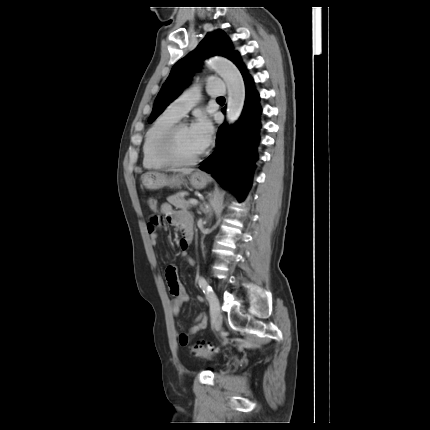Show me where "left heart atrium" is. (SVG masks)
Instances as JSON below:
<instances>
[{
	"instance_id": "1",
	"label": "left heart atrium",
	"mask_w": 430,
	"mask_h": 430,
	"mask_svg": "<svg viewBox=\"0 0 430 430\" xmlns=\"http://www.w3.org/2000/svg\"><path fill=\"white\" fill-rule=\"evenodd\" d=\"M191 134L198 145L203 151L211 142L213 127L210 120L205 115H200L190 127Z\"/></svg>"
}]
</instances>
